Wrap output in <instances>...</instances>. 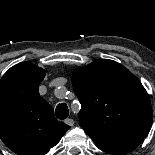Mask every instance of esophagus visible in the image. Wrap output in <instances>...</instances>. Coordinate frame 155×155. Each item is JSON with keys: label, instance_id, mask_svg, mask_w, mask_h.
<instances>
[{"label": "esophagus", "instance_id": "obj_1", "mask_svg": "<svg viewBox=\"0 0 155 155\" xmlns=\"http://www.w3.org/2000/svg\"><path fill=\"white\" fill-rule=\"evenodd\" d=\"M65 123L72 127L74 125V120L71 119V118H68V119L65 120Z\"/></svg>", "mask_w": 155, "mask_h": 155}]
</instances>
